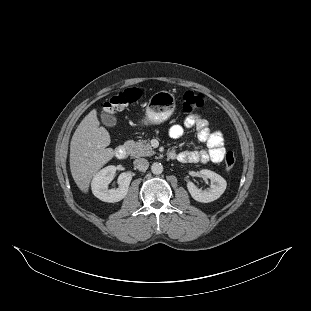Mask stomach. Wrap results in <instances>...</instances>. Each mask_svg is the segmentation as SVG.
<instances>
[{
	"instance_id": "obj_1",
	"label": "stomach",
	"mask_w": 311,
	"mask_h": 311,
	"mask_svg": "<svg viewBox=\"0 0 311 311\" xmlns=\"http://www.w3.org/2000/svg\"><path fill=\"white\" fill-rule=\"evenodd\" d=\"M175 99L166 91L154 94L148 102L146 120L153 124H160L167 120L174 112Z\"/></svg>"
}]
</instances>
